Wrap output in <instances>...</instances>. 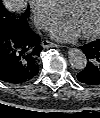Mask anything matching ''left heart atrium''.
Returning a JSON list of instances; mask_svg holds the SVG:
<instances>
[{
	"instance_id": "left-heart-atrium-1",
	"label": "left heart atrium",
	"mask_w": 100,
	"mask_h": 118,
	"mask_svg": "<svg viewBox=\"0 0 100 118\" xmlns=\"http://www.w3.org/2000/svg\"><path fill=\"white\" fill-rule=\"evenodd\" d=\"M79 28L71 21L56 23L51 28V35L53 38L60 41H73L80 34Z\"/></svg>"
}]
</instances>
